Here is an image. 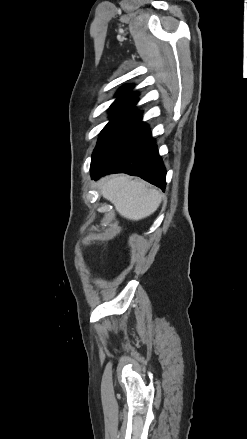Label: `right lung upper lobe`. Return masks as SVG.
<instances>
[{
	"label": "right lung upper lobe",
	"mask_w": 247,
	"mask_h": 439,
	"mask_svg": "<svg viewBox=\"0 0 247 439\" xmlns=\"http://www.w3.org/2000/svg\"><path fill=\"white\" fill-rule=\"evenodd\" d=\"M132 89V85H126L122 87L116 94L117 99L112 105L123 106L127 109L134 110L135 105L138 102L137 96L138 93H133L130 90ZM111 105V106H112Z\"/></svg>",
	"instance_id": "1"
}]
</instances>
